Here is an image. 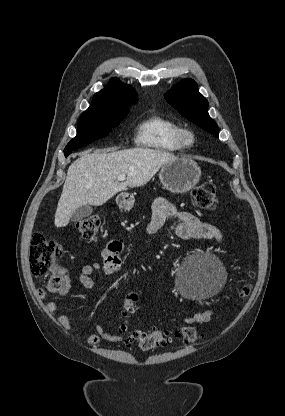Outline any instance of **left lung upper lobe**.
<instances>
[{"label":"left lung upper lobe","instance_id":"5c2ea615","mask_svg":"<svg viewBox=\"0 0 285 416\" xmlns=\"http://www.w3.org/2000/svg\"><path fill=\"white\" fill-rule=\"evenodd\" d=\"M165 98L191 122L218 137V126L208 114V101L198 92L192 79H184L171 88Z\"/></svg>","mask_w":285,"mask_h":416}]
</instances>
